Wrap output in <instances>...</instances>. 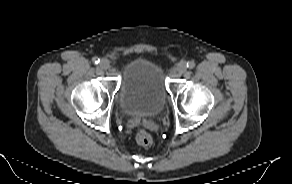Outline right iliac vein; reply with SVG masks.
Masks as SVG:
<instances>
[{"mask_svg":"<svg viewBox=\"0 0 292 184\" xmlns=\"http://www.w3.org/2000/svg\"><path fill=\"white\" fill-rule=\"evenodd\" d=\"M99 65L104 70H106V69H108L110 67V63H109V61L107 59H102L100 61V64Z\"/></svg>","mask_w":292,"mask_h":184,"instance_id":"63e3f726","label":"right iliac vein"}]
</instances>
